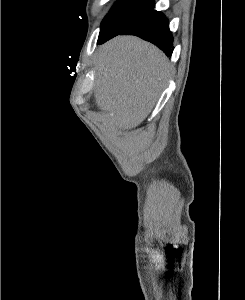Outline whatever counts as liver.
I'll return each instance as SVG.
<instances>
[{
    "instance_id": "liver-1",
    "label": "liver",
    "mask_w": 245,
    "mask_h": 300,
    "mask_svg": "<svg viewBox=\"0 0 245 300\" xmlns=\"http://www.w3.org/2000/svg\"><path fill=\"white\" fill-rule=\"evenodd\" d=\"M167 57L138 37L117 36L101 47L95 100L112 130L140 125L153 109L169 76Z\"/></svg>"
}]
</instances>
